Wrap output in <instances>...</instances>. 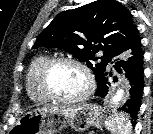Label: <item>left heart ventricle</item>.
<instances>
[{
  "instance_id": "left-heart-ventricle-1",
  "label": "left heart ventricle",
  "mask_w": 153,
  "mask_h": 134,
  "mask_svg": "<svg viewBox=\"0 0 153 134\" xmlns=\"http://www.w3.org/2000/svg\"><path fill=\"white\" fill-rule=\"evenodd\" d=\"M48 83L55 94L65 98L81 95L87 85L82 70L71 64L55 66L50 72Z\"/></svg>"
}]
</instances>
